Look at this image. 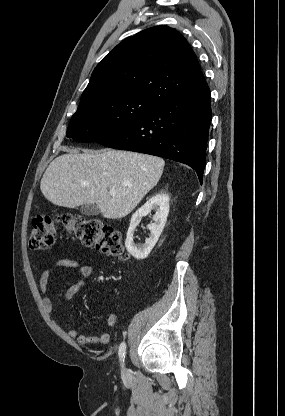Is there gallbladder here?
I'll list each match as a JSON object with an SVG mask.
<instances>
[{"label": "gallbladder", "mask_w": 285, "mask_h": 416, "mask_svg": "<svg viewBox=\"0 0 285 416\" xmlns=\"http://www.w3.org/2000/svg\"><path fill=\"white\" fill-rule=\"evenodd\" d=\"M81 214L84 216H98L100 214L99 208H97L96 204H83L80 208Z\"/></svg>", "instance_id": "1"}]
</instances>
